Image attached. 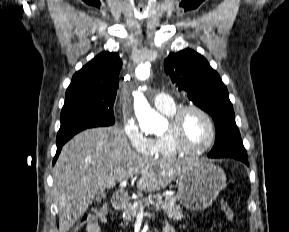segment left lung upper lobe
I'll use <instances>...</instances> for the list:
<instances>
[{"mask_svg":"<svg viewBox=\"0 0 289 232\" xmlns=\"http://www.w3.org/2000/svg\"><path fill=\"white\" fill-rule=\"evenodd\" d=\"M164 68L176 87L186 92L188 98L208 112L215 122L216 141L208 157H247L227 88L207 60L197 52L185 49L169 54Z\"/></svg>","mask_w":289,"mask_h":232,"instance_id":"obj_1","label":"left lung upper lobe"}]
</instances>
